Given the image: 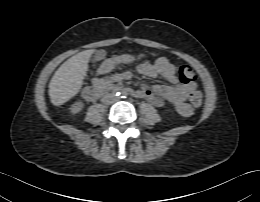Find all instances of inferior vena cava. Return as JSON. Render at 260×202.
Here are the masks:
<instances>
[{
  "mask_svg": "<svg viewBox=\"0 0 260 202\" xmlns=\"http://www.w3.org/2000/svg\"><path fill=\"white\" fill-rule=\"evenodd\" d=\"M115 100H116V98L113 95L108 94L103 97L102 102L105 104H110V103L115 102Z\"/></svg>",
  "mask_w": 260,
  "mask_h": 202,
  "instance_id": "602c4592",
  "label": "inferior vena cava"
}]
</instances>
